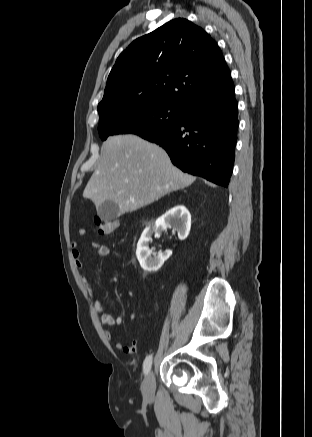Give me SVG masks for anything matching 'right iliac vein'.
<instances>
[{"label":"right iliac vein","instance_id":"1","mask_svg":"<svg viewBox=\"0 0 312 437\" xmlns=\"http://www.w3.org/2000/svg\"><path fill=\"white\" fill-rule=\"evenodd\" d=\"M154 389H155L154 374L152 371H150L142 383V393L144 397L148 400L153 399Z\"/></svg>","mask_w":312,"mask_h":437}]
</instances>
